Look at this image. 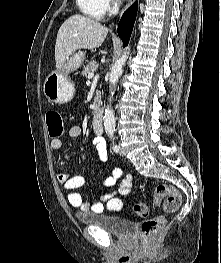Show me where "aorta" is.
<instances>
[{"mask_svg":"<svg viewBox=\"0 0 221 263\" xmlns=\"http://www.w3.org/2000/svg\"><path fill=\"white\" fill-rule=\"evenodd\" d=\"M128 55L129 52L125 50L122 56L119 59H117L111 67L110 76H109L110 103H111V98L114 95L116 84L123 73V67ZM103 120H104L105 132L112 135L115 131V115H114V110L111 108V106L106 107Z\"/></svg>","mask_w":221,"mask_h":263,"instance_id":"obj_1","label":"aorta"}]
</instances>
